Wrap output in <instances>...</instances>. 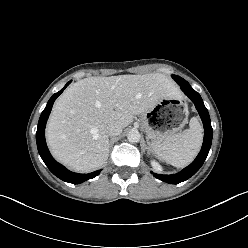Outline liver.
<instances>
[{
	"label": "liver",
	"instance_id": "6515ba94",
	"mask_svg": "<svg viewBox=\"0 0 248 248\" xmlns=\"http://www.w3.org/2000/svg\"><path fill=\"white\" fill-rule=\"evenodd\" d=\"M164 74L88 77L68 87L54 103L46 129L53 156L77 172L102 167L109 155L107 125L123 128L166 96H177Z\"/></svg>",
	"mask_w": 248,
	"mask_h": 248
}]
</instances>
